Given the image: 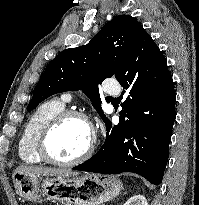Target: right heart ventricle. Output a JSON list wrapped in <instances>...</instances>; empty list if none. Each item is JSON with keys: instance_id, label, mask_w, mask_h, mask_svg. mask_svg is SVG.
Masks as SVG:
<instances>
[{"instance_id": "e07e8e85", "label": "right heart ventricle", "mask_w": 199, "mask_h": 205, "mask_svg": "<svg viewBox=\"0 0 199 205\" xmlns=\"http://www.w3.org/2000/svg\"><path fill=\"white\" fill-rule=\"evenodd\" d=\"M64 108L63 100L50 99L42 103L31 115L23 129L18 145V154L23 162L27 164L43 163L36 150L38 134L42 127Z\"/></svg>"}]
</instances>
